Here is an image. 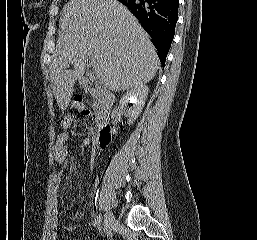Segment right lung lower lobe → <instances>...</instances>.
Wrapping results in <instances>:
<instances>
[{
	"label": "right lung lower lobe",
	"instance_id": "obj_1",
	"mask_svg": "<svg viewBox=\"0 0 257 240\" xmlns=\"http://www.w3.org/2000/svg\"><path fill=\"white\" fill-rule=\"evenodd\" d=\"M151 36L162 66L165 65L178 19L179 0H118Z\"/></svg>",
	"mask_w": 257,
	"mask_h": 240
}]
</instances>
